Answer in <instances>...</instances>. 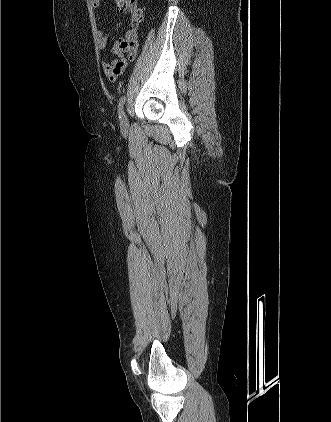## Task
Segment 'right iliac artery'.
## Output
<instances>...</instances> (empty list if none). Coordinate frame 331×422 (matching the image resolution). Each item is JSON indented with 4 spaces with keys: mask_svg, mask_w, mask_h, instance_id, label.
Listing matches in <instances>:
<instances>
[{
    "mask_svg": "<svg viewBox=\"0 0 331 422\" xmlns=\"http://www.w3.org/2000/svg\"><path fill=\"white\" fill-rule=\"evenodd\" d=\"M125 100H126V97L123 96V97H121V99L119 101V105H118L119 118H121V114L123 112L122 110H123V106H124Z\"/></svg>",
    "mask_w": 331,
    "mask_h": 422,
    "instance_id": "1",
    "label": "right iliac artery"
}]
</instances>
